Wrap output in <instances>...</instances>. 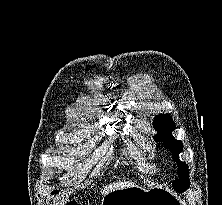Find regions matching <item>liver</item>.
<instances>
[{
	"label": "liver",
	"mask_w": 222,
	"mask_h": 205,
	"mask_svg": "<svg viewBox=\"0 0 222 205\" xmlns=\"http://www.w3.org/2000/svg\"><path fill=\"white\" fill-rule=\"evenodd\" d=\"M134 185L132 182H116V183H112L108 186H106L104 189H103V194L109 192V191H112V190H115V189H118V188H124V187H127V186H132Z\"/></svg>",
	"instance_id": "1"
}]
</instances>
